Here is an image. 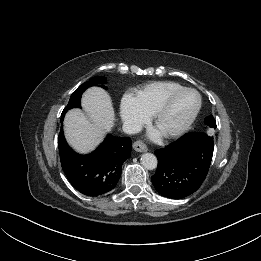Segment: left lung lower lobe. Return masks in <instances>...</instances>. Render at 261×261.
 I'll return each instance as SVG.
<instances>
[{"label": "left lung lower lobe", "mask_w": 261, "mask_h": 261, "mask_svg": "<svg viewBox=\"0 0 261 261\" xmlns=\"http://www.w3.org/2000/svg\"><path fill=\"white\" fill-rule=\"evenodd\" d=\"M213 151V137L203 132L187 133L157 149L158 166L151 177L155 190L171 199L194 193L207 176Z\"/></svg>", "instance_id": "left-lung-lower-lobe-1"}]
</instances>
